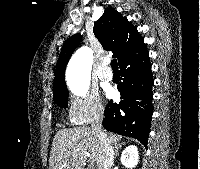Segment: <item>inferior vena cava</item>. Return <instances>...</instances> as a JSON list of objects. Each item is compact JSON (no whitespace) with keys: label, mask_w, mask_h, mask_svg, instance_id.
<instances>
[{"label":"inferior vena cava","mask_w":200,"mask_h":169,"mask_svg":"<svg viewBox=\"0 0 200 169\" xmlns=\"http://www.w3.org/2000/svg\"><path fill=\"white\" fill-rule=\"evenodd\" d=\"M104 115L103 107L99 108L92 123V130L99 138L101 145V157L98 161V169H111L114 163V147L107 138L105 131L102 128V120Z\"/></svg>","instance_id":"1"}]
</instances>
